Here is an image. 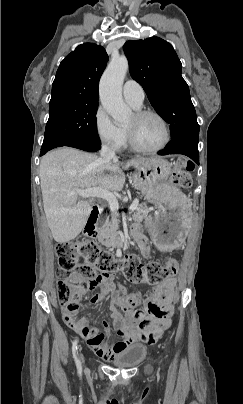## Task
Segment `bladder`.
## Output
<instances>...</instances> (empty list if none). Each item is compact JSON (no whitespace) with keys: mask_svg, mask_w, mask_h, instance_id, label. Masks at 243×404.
Instances as JSON below:
<instances>
[{"mask_svg":"<svg viewBox=\"0 0 243 404\" xmlns=\"http://www.w3.org/2000/svg\"><path fill=\"white\" fill-rule=\"evenodd\" d=\"M147 355V348L141 343H133L118 353L112 359V363L119 368H132L141 363Z\"/></svg>","mask_w":243,"mask_h":404,"instance_id":"31cf9c89","label":"bladder"}]
</instances>
